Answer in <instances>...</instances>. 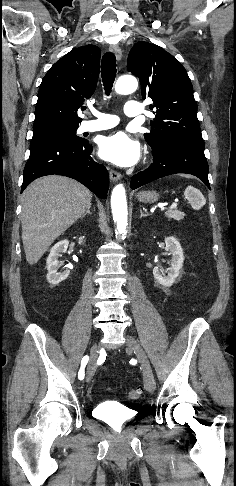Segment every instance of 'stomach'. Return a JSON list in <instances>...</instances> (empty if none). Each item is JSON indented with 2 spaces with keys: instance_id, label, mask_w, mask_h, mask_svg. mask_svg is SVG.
<instances>
[{
  "instance_id": "stomach-1",
  "label": "stomach",
  "mask_w": 236,
  "mask_h": 486,
  "mask_svg": "<svg viewBox=\"0 0 236 486\" xmlns=\"http://www.w3.org/2000/svg\"><path fill=\"white\" fill-rule=\"evenodd\" d=\"M137 199L142 203H154L159 199L156 191H142L138 193Z\"/></svg>"
}]
</instances>
